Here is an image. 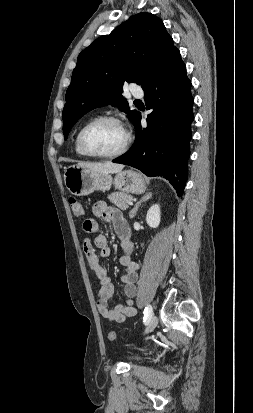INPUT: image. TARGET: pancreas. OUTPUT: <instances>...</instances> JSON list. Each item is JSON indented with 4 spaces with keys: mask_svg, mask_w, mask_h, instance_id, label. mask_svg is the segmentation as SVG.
Returning <instances> with one entry per match:
<instances>
[{
    "mask_svg": "<svg viewBox=\"0 0 253 413\" xmlns=\"http://www.w3.org/2000/svg\"><path fill=\"white\" fill-rule=\"evenodd\" d=\"M108 199L121 210H127L129 207L128 202L132 201L133 196L125 192H114L108 195Z\"/></svg>",
    "mask_w": 253,
    "mask_h": 413,
    "instance_id": "cf45deb5",
    "label": "pancreas"
}]
</instances>
